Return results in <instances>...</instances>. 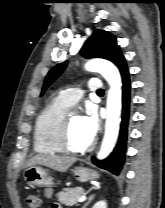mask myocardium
Returning <instances> with one entry per match:
<instances>
[{
    "mask_svg": "<svg viewBox=\"0 0 165 208\" xmlns=\"http://www.w3.org/2000/svg\"><path fill=\"white\" fill-rule=\"evenodd\" d=\"M75 113H66L60 127L58 141L59 148L62 153L68 154H84L89 152L94 147V142L92 141L89 145L84 148H73L69 143V130H70V119Z\"/></svg>",
    "mask_w": 165,
    "mask_h": 208,
    "instance_id": "myocardium-1",
    "label": "myocardium"
}]
</instances>
